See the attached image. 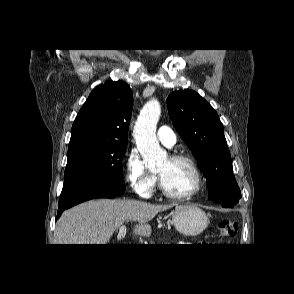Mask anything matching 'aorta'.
Instances as JSON below:
<instances>
[{
	"instance_id": "aorta-1",
	"label": "aorta",
	"mask_w": 294,
	"mask_h": 294,
	"mask_svg": "<svg viewBox=\"0 0 294 294\" xmlns=\"http://www.w3.org/2000/svg\"><path fill=\"white\" fill-rule=\"evenodd\" d=\"M160 114L161 107L157 100L147 102L133 131L137 148L151 170L162 166L167 159V152L160 147L156 137V125Z\"/></svg>"
}]
</instances>
